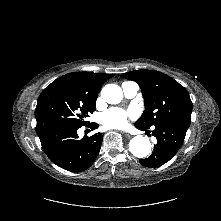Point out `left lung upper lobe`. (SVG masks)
<instances>
[{
	"mask_svg": "<svg viewBox=\"0 0 221 221\" xmlns=\"http://www.w3.org/2000/svg\"><path fill=\"white\" fill-rule=\"evenodd\" d=\"M122 78L137 82L142 90L145 111L136 125L149 129L164 124L190 126L192 102L187 90L168 75L153 70L130 71Z\"/></svg>",
	"mask_w": 221,
	"mask_h": 221,
	"instance_id": "5c2ea615",
	"label": "left lung upper lobe"
}]
</instances>
